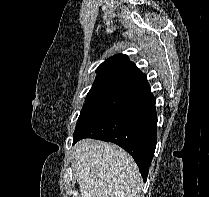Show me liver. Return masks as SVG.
I'll list each match as a JSON object with an SVG mask.
<instances>
[{"mask_svg": "<svg viewBox=\"0 0 209 197\" xmlns=\"http://www.w3.org/2000/svg\"><path fill=\"white\" fill-rule=\"evenodd\" d=\"M81 197H138L142 179L133 158L117 145L83 139L74 147Z\"/></svg>", "mask_w": 209, "mask_h": 197, "instance_id": "obj_1", "label": "liver"}]
</instances>
